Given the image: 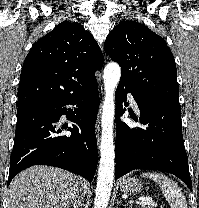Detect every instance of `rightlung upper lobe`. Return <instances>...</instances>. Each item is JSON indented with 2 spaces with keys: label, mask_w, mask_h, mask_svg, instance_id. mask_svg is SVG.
I'll use <instances>...</instances> for the list:
<instances>
[{
  "label": "right lung upper lobe",
  "mask_w": 199,
  "mask_h": 208,
  "mask_svg": "<svg viewBox=\"0 0 199 208\" xmlns=\"http://www.w3.org/2000/svg\"><path fill=\"white\" fill-rule=\"evenodd\" d=\"M103 66L93 36L77 22L64 21L39 39L23 63L18 109L74 94L96 80Z\"/></svg>",
  "instance_id": "1"
}]
</instances>
